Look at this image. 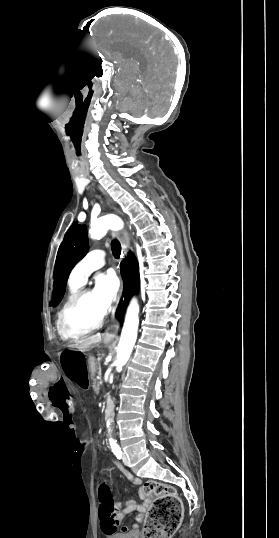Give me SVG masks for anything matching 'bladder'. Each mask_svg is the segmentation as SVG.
<instances>
[{
  "mask_svg": "<svg viewBox=\"0 0 279 538\" xmlns=\"http://www.w3.org/2000/svg\"><path fill=\"white\" fill-rule=\"evenodd\" d=\"M108 538H139L138 532H109Z\"/></svg>",
  "mask_w": 279,
  "mask_h": 538,
  "instance_id": "1",
  "label": "bladder"
}]
</instances>
